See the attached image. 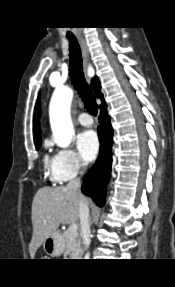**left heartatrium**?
I'll return each instance as SVG.
<instances>
[{
  "label": "left heart atrium",
  "mask_w": 175,
  "mask_h": 287,
  "mask_svg": "<svg viewBox=\"0 0 175 287\" xmlns=\"http://www.w3.org/2000/svg\"><path fill=\"white\" fill-rule=\"evenodd\" d=\"M77 148L86 161L94 160L99 150V140L96 133L92 130L80 133L77 137Z\"/></svg>",
  "instance_id": "obj_1"
}]
</instances>
